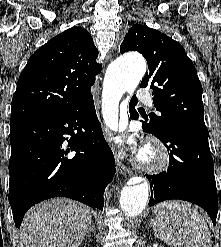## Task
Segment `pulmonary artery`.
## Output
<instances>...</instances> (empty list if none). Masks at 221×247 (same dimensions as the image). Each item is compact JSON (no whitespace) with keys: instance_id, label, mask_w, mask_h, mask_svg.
Here are the masks:
<instances>
[{"instance_id":"1","label":"pulmonary artery","mask_w":221,"mask_h":247,"mask_svg":"<svg viewBox=\"0 0 221 247\" xmlns=\"http://www.w3.org/2000/svg\"><path fill=\"white\" fill-rule=\"evenodd\" d=\"M137 97L139 100H141L142 102H145V103H151V101H152L151 94L146 90L138 91Z\"/></svg>"}]
</instances>
